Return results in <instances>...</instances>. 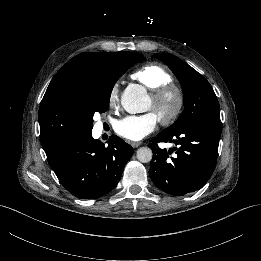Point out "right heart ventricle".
Listing matches in <instances>:
<instances>
[{
	"label": "right heart ventricle",
	"instance_id": "right-heart-ventricle-1",
	"mask_svg": "<svg viewBox=\"0 0 261 261\" xmlns=\"http://www.w3.org/2000/svg\"><path fill=\"white\" fill-rule=\"evenodd\" d=\"M133 77L152 92L160 86L171 83L172 81L170 73L164 67L156 63L142 66L134 73Z\"/></svg>",
	"mask_w": 261,
	"mask_h": 261
}]
</instances>
